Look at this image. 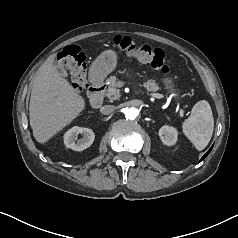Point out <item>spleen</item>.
Wrapping results in <instances>:
<instances>
[{"label": "spleen", "instance_id": "obj_1", "mask_svg": "<svg viewBox=\"0 0 238 238\" xmlns=\"http://www.w3.org/2000/svg\"><path fill=\"white\" fill-rule=\"evenodd\" d=\"M214 130V118L210 104L206 100L198 101L191 115L183 122L182 131L198 151L206 148Z\"/></svg>", "mask_w": 238, "mask_h": 238}]
</instances>
